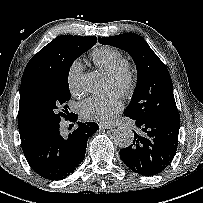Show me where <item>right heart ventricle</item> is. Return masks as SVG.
Wrapping results in <instances>:
<instances>
[{
  "instance_id": "1",
  "label": "right heart ventricle",
  "mask_w": 203,
  "mask_h": 203,
  "mask_svg": "<svg viewBox=\"0 0 203 203\" xmlns=\"http://www.w3.org/2000/svg\"><path fill=\"white\" fill-rule=\"evenodd\" d=\"M90 56L95 65L106 73H110L125 62V57L121 51L107 46L96 48Z\"/></svg>"
}]
</instances>
